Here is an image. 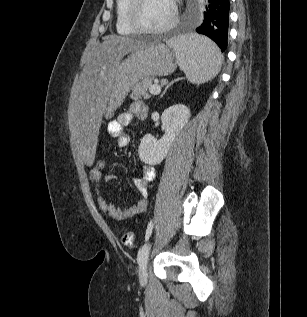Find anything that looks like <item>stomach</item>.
Segmentation results:
<instances>
[{
    "mask_svg": "<svg viewBox=\"0 0 307 317\" xmlns=\"http://www.w3.org/2000/svg\"><path fill=\"white\" fill-rule=\"evenodd\" d=\"M176 66L173 51L164 44L151 43L132 51L117 65L104 101L105 117L113 116L136 83L146 78L169 75Z\"/></svg>",
    "mask_w": 307,
    "mask_h": 317,
    "instance_id": "1",
    "label": "stomach"
}]
</instances>
